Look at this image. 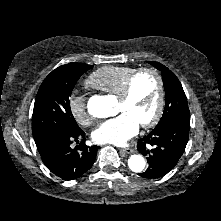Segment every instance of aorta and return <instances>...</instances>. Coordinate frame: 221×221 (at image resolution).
Listing matches in <instances>:
<instances>
[{"mask_svg":"<svg viewBox=\"0 0 221 221\" xmlns=\"http://www.w3.org/2000/svg\"><path fill=\"white\" fill-rule=\"evenodd\" d=\"M88 112L94 118H106L113 114L112 105L102 96H95L89 101ZM145 165V159L141 155H131L128 159V166L133 172L143 171Z\"/></svg>","mask_w":221,"mask_h":221,"instance_id":"aorta-1","label":"aorta"}]
</instances>
